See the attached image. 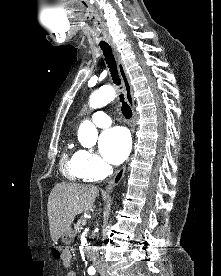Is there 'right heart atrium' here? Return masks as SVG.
Listing matches in <instances>:
<instances>
[{"instance_id": "obj_1", "label": "right heart atrium", "mask_w": 221, "mask_h": 276, "mask_svg": "<svg viewBox=\"0 0 221 276\" xmlns=\"http://www.w3.org/2000/svg\"><path fill=\"white\" fill-rule=\"evenodd\" d=\"M80 158L81 167L86 179L92 180L108 174V165L95 153L82 150Z\"/></svg>"}]
</instances>
